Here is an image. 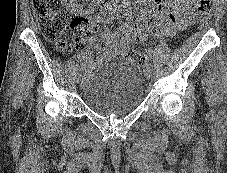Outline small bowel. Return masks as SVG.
Returning <instances> with one entry per match:
<instances>
[{"mask_svg": "<svg viewBox=\"0 0 227 173\" xmlns=\"http://www.w3.org/2000/svg\"><path fill=\"white\" fill-rule=\"evenodd\" d=\"M125 15L126 21L114 33L104 32L98 27L105 21L104 18H97L90 23L89 32L96 37L85 39L87 49L80 53V60L85 67L93 66L89 47L95 44L97 37L105 40V46L100 48L102 58L129 57L132 52L131 40L140 42L149 35L157 34L172 37L198 19L194 0H134L128 5Z\"/></svg>", "mask_w": 227, "mask_h": 173, "instance_id": "small-bowel-1", "label": "small bowel"}]
</instances>
